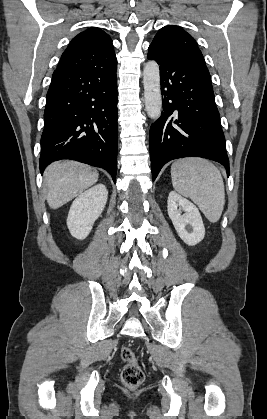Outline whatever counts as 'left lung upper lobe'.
<instances>
[{"label": "left lung upper lobe", "mask_w": 267, "mask_h": 419, "mask_svg": "<svg viewBox=\"0 0 267 419\" xmlns=\"http://www.w3.org/2000/svg\"><path fill=\"white\" fill-rule=\"evenodd\" d=\"M149 47L164 55L183 58L206 67L196 41L178 26L167 25L161 28Z\"/></svg>", "instance_id": "left-lung-upper-lobe-1"}]
</instances>
